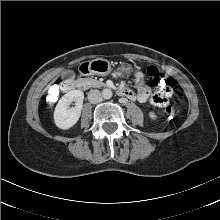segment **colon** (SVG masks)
<instances>
[{"label":"colon","instance_id":"obj_1","mask_svg":"<svg viewBox=\"0 0 220 220\" xmlns=\"http://www.w3.org/2000/svg\"><path fill=\"white\" fill-rule=\"evenodd\" d=\"M146 85L152 91H159L166 87L168 78L165 73L161 72L155 66H149L147 68ZM155 103L164 108L166 118L169 121L177 119L176 107L168 100L160 96H156L154 99Z\"/></svg>","mask_w":220,"mask_h":220}]
</instances>
